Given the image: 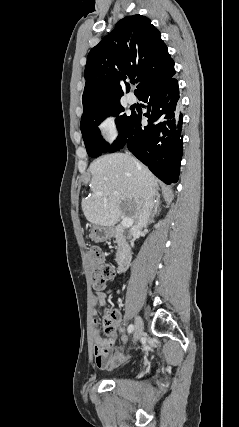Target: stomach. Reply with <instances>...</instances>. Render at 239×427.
Segmentation results:
<instances>
[{"instance_id": "stomach-1", "label": "stomach", "mask_w": 239, "mask_h": 427, "mask_svg": "<svg viewBox=\"0 0 239 427\" xmlns=\"http://www.w3.org/2000/svg\"><path fill=\"white\" fill-rule=\"evenodd\" d=\"M113 231L109 227L94 225L90 230V238L92 241L99 243L111 238Z\"/></svg>"}]
</instances>
